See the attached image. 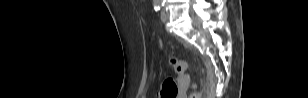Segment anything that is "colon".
<instances>
[{
  "label": "colon",
  "instance_id": "1",
  "mask_svg": "<svg viewBox=\"0 0 308 98\" xmlns=\"http://www.w3.org/2000/svg\"><path fill=\"white\" fill-rule=\"evenodd\" d=\"M170 62L175 72L179 74H184L187 72L188 65L185 61L172 58ZM176 95H177V85L175 81L172 79L165 80L164 83L162 84L159 96L161 98H175ZM190 98H201V93L194 91L191 93Z\"/></svg>",
  "mask_w": 308,
  "mask_h": 98
}]
</instances>
